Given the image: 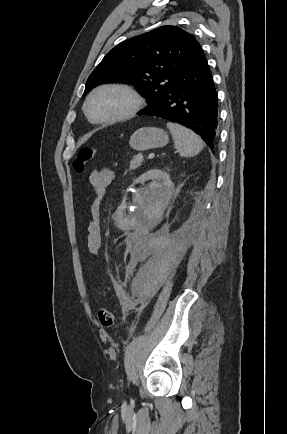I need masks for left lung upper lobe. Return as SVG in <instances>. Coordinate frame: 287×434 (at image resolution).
Here are the masks:
<instances>
[{
	"mask_svg": "<svg viewBox=\"0 0 287 434\" xmlns=\"http://www.w3.org/2000/svg\"><path fill=\"white\" fill-rule=\"evenodd\" d=\"M203 55L193 35L176 26H161L110 50L89 76L83 96L103 83L126 82L139 87L150 107Z\"/></svg>",
	"mask_w": 287,
	"mask_h": 434,
	"instance_id": "left-lung-upper-lobe-1",
	"label": "left lung upper lobe"
}]
</instances>
